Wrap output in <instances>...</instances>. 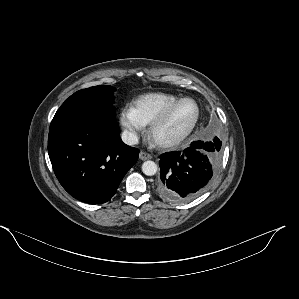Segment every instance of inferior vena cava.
Masks as SVG:
<instances>
[{"instance_id": "inferior-vena-cava-1", "label": "inferior vena cava", "mask_w": 299, "mask_h": 299, "mask_svg": "<svg viewBox=\"0 0 299 299\" xmlns=\"http://www.w3.org/2000/svg\"><path fill=\"white\" fill-rule=\"evenodd\" d=\"M122 141L127 145H135L138 144V136L131 131L125 130L121 135Z\"/></svg>"}]
</instances>
